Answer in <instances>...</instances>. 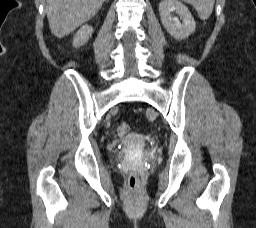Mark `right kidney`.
Segmentation results:
<instances>
[{
	"label": "right kidney",
	"instance_id": "obj_1",
	"mask_svg": "<svg viewBox=\"0 0 256 228\" xmlns=\"http://www.w3.org/2000/svg\"><path fill=\"white\" fill-rule=\"evenodd\" d=\"M93 33V28L89 25L82 26L73 38V46L80 47L84 45Z\"/></svg>",
	"mask_w": 256,
	"mask_h": 228
}]
</instances>
